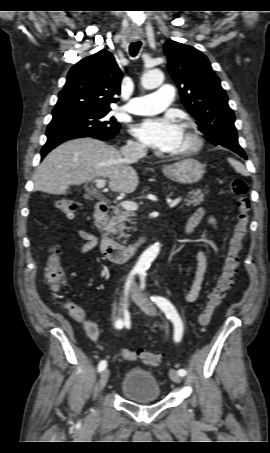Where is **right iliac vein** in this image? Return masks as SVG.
Returning a JSON list of instances; mask_svg holds the SVG:
<instances>
[{
  "mask_svg": "<svg viewBox=\"0 0 270 453\" xmlns=\"http://www.w3.org/2000/svg\"><path fill=\"white\" fill-rule=\"evenodd\" d=\"M109 375H110V370L109 369H105L101 373L100 380H99L100 390H103L105 388V386L107 384V381H108V378H109Z\"/></svg>",
  "mask_w": 270,
  "mask_h": 453,
  "instance_id": "right-iliac-vein-1",
  "label": "right iliac vein"
}]
</instances>
